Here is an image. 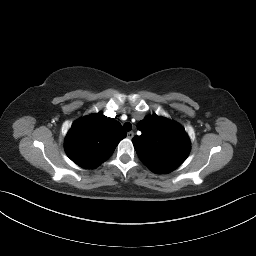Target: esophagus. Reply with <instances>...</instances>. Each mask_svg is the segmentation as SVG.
<instances>
[{
	"label": "esophagus",
	"instance_id": "34e87169",
	"mask_svg": "<svg viewBox=\"0 0 256 256\" xmlns=\"http://www.w3.org/2000/svg\"><path fill=\"white\" fill-rule=\"evenodd\" d=\"M127 137H128L129 139H132V138L134 137V132H132V131L128 132V133H127Z\"/></svg>",
	"mask_w": 256,
	"mask_h": 256
}]
</instances>
